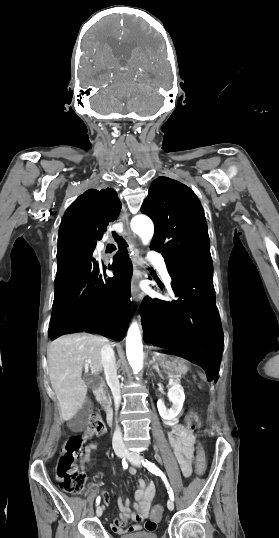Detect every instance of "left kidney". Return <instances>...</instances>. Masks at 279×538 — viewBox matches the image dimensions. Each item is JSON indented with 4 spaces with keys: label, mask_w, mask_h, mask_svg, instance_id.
Returning a JSON list of instances; mask_svg holds the SVG:
<instances>
[{
    "label": "left kidney",
    "mask_w": 279,
    "mask_h": 538,
    "mask_svg": "<svg viewBox=\"0 0 279 538\" xmlns=\"http://www.w3.org/2000/svg\"><path fill=\"white\" fill-rule=\"evenodd\" d=\"M170 386L168 398L172 402L171 408H166L163 400H158L157 402L158 412L163 420H173V418H176L180 414L185 402V394L182 386L180 384H170Z\"/></svg>",
    "instance_id": "obj_1"
}]
</instances>
